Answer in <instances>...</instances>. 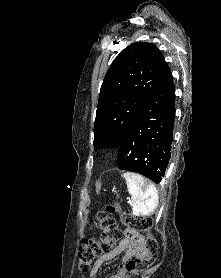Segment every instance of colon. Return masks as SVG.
I'll return each mask as SVG.
<instances>
[{
  "instance_id": "colon-1",
  "label": "colon",
  "mask_w": 221,
  "mask_h": 278,
  "mask_svg": "<svg viewBox=\"0 0 221 278\" xmlns=\"http://www.w3.org/2000/svg\"><path fill=\"white\" fill-rule=\"evenodd\" d=\"M113 214H118L121 222L129 229L136 232L147 233L143 241V253L137 259L130 261L126 265V271L132 274H138L145 271L156 259L158 252V243L150 234L152 228V219L149 217H135L128 211H124L117 203L108 204L105 209L96 213L95 220L98 222L102 236L98 241L94 238H86L78 252V269L81 273L89 272L94 258L111 250L115 241L121 237V232L117 226Z\"/></svg>"
}]
</instances>
